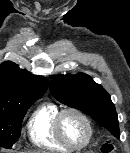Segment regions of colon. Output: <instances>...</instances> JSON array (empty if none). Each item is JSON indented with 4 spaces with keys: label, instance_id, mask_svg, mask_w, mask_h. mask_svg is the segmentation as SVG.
<instances>
[{
    "label": "colon",
    "instance_id": "obj_1",
    "mask_svg": "<svg viewBox=\"0 0 130 153\" xmlns=\"http://www.w3.org/2000/svg\"><path fill=\"white\" fill-rule=\"evenodd\" d=\"M103 152H112L113 151V145L109 142H106L102 147Z\"/></svg>",
    "mask_w": 130,
    "mask_h": 153
}]
</instances>
